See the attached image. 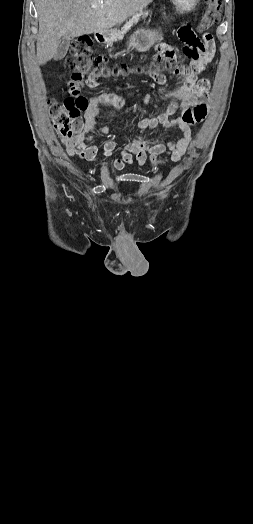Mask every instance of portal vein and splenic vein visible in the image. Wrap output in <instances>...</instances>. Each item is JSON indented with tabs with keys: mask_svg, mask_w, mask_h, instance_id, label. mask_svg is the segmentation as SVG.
<instances>
[{
	"mask_svg": "<svg viewBox=\"0 0 253 524\" xmlns=\"http://www.w3.org/2000/svg\"><path fill=\"white\" fill-rule=\"evenodd\" d=\"M91 7H92V8H97L98 5H97V4H92Z\"/></svg>",
	"mask_w": 253,
	"mask_h": 524,
	"instance_id": "18ae733b",
	"label": "portal vein and splenic vein"
}]
</instances>
